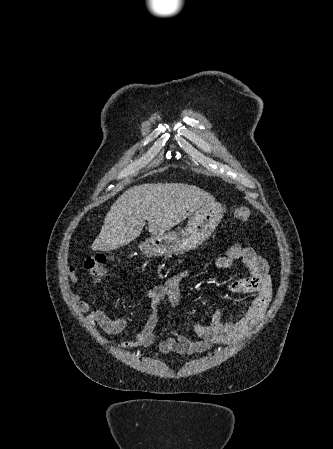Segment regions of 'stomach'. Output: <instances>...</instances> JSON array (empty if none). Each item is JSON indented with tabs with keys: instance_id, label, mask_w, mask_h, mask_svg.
<instances>
[{
	"instance_id": "0dacf381",
	"label": "stomach",
	"mask_w": 333,
	"mask_h": 449,
	"mask_svg": "<svg viewBox=\"0 0 333 449\" xmlns=\"http://www.w3.org/2000/svg\"><path fill=\"white\" fill-rule=\"evenodd\" d=\"M223 206L212 201L198 209L180 231L164 232L139 245L150 256L183 254L207 240L224 215Z\"/></svg>"
}]
</instances>
